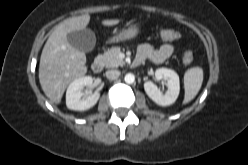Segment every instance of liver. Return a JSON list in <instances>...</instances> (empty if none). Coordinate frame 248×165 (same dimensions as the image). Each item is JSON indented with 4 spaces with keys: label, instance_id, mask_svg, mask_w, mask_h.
<instances>
[{
    "label": "liver",
    "instance_id": "obj_1",
    "mask_svg": "<svg viewBox=\"0 0 248 165\" xmlns=\"http://www.w3.org/2000/svg\"><path fill=\"white\" fill-rule=\"evenodd\" d=\"M90 15L72 17L58 24L46 41L39 64V81L45 95L52 103L59 104L68 84L87 72L86 55L67 40L68 33L83 30ZM118 19L103 20L104 26H113Z\"/></svg>",
    "mask_w": 248,
    "mask_h": 165
}]
</instances>
